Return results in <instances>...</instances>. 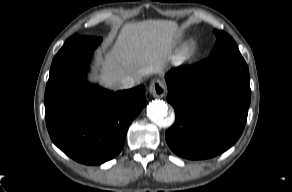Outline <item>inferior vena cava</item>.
I'll use <instances>...</instances> for the list:
<instances>
[{
    "label": "inferior vena cava",
    "instance_id": "obj_1",
    "mask_svg": "<svg viewBox=\"0 0 292 192\" xmlns=\"http://www.w3.org/2000/svg\"><path fill=\"white\" fill-rule=\"evenodd\" d=\"M120 84L122 89H129L135 85V80L131 76H126L121 79Z\"/></svg>",
    "mask_w": 292,
    "mask_h": 192
}]
</instances>
